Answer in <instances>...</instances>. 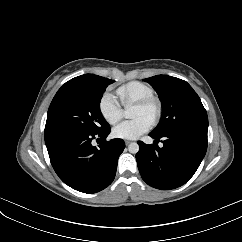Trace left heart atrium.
<instances>
[{
  "label": "left heart atrium",
  "instance_id": "obj_1",
  "mask_svg": "<svg viewBox=\"0 0 242 242\" xmlns=\"http://www.w3.org/2000/svg\"><path fill=\"white\" fill-rule=\"evenodd\" d=\"M151 124V121L147 118L137 117L117 124L112 133L117 138L134 140L147 132Z\"/></svg>",
  "mask_w": 242,
  "mask_h": 242
}]
</instances>
